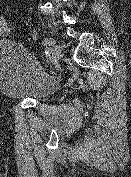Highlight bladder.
<instances>
[{
	"label": "bladder",
	"instance_id": "bladder-1",
	"mask_svg": "<svg viewBox=\"0 0 131 177\" xmlns=\"http://www.w3.org/2000/svg\"><path fill=\"white\" fill-rule=\"evenodd\" d=\"M57 89L56 81L19 44H0V93L11 99L43 101Z\"/></svg>",
	"mask_w": 131,
	"mask_h": 177
}]
</instances>
